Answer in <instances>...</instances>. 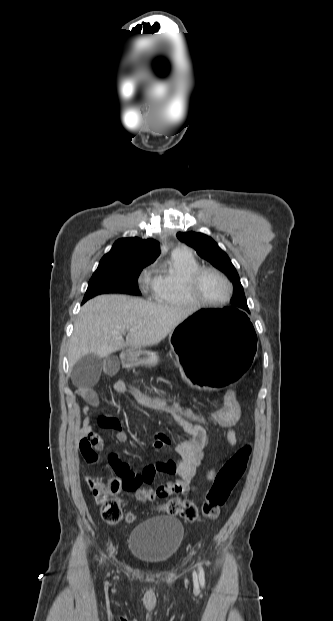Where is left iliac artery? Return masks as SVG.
Wrapping results in <instances>:
<instances>
[{"mask_svg": "<svg viewBox=\"0 0 333 621\" xmlns=\"http://www.w3.org/2000/svg\"><path fill=\"white\" fill-rule=\"evenodd\" d=\"M199 581H200V584L202 586H204V584H205V574H204L203 567L201 565H199Z\"/></svg>", "mask_w": 333, "mask_h": 621, "instance_id": "obj_1", "label": "left iliac artery"}]
</instances>
